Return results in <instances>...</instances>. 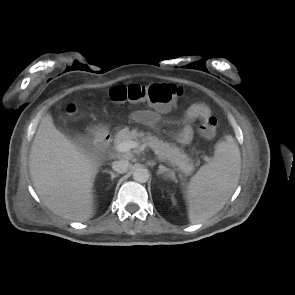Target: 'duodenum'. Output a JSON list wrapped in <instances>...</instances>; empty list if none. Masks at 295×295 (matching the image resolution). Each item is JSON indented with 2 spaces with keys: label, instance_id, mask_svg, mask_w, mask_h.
I'll list each match as a JSON object with an SVG mask.
<instances>
[{
  "label": "duodenum",
  "instance_id": "1",
  "mask_svg": "<svg viewBox=\"0 0 295 295\" xmlns=\"http://www.w3.org/2000/svg\"><path fill=\"white\" fill-rule=\"evenodd\" d=\"M111 142V136L106 131L99 132L95 137V146L98 150H106Z\"/></svg>",
  "mask_w": 295,
  "mask_h": 295
}]
</instances>
